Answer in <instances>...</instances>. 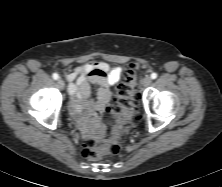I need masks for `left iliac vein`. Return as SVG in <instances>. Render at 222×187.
<instances>
[{
    "instance_id": "1",
    "label": "left iliac vein",
    "mask_w": 222,
    "mask_h": 187,
    "mask_svg": "<svg viewBox=\"0 0 222 187\" xmlns=\"http://www.w3.org/2000/svg\"><path fill=\"white\" fill-rule=\"evenodd\" d=\"M151 83H152V80H151V78H150L149 76H146V77L142 80V85H143L144 87L150 86Z\"/></svg>"
}]
</instances>
